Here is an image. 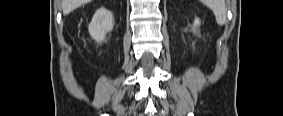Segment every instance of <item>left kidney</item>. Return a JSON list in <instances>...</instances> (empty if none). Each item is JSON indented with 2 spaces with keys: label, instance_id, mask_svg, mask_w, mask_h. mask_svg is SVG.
Returning <instances> with one entry per match:
<instances>
[{
  "label": "left kidney",
  "instance_id": "1",
  "mask_svg": "<svg viewBox=\"0 0 283 116\" xmlns=\"http://www.w3.org/2000/svg\"><path fill=\"white\" fill-rule=\"evenodd\" d=\"M199 24H200L199 19H196L195 22H194V25L197 26V25H199Z\"/></svg>",
  "mask_w": 283,
  "mask_h": 116
}]
</instances>
